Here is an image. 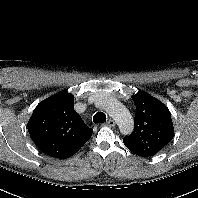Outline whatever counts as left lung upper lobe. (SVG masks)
Returning <instances> with one entry per match:
<instances>
[{"mask_svg":"<svg viewBox=\"0 0 198 198\" xmlns=\"http://www.w3.org/2000/svg\"><path fill=\"white\" fill-rule=\"evenodd\" d=\"M132 99L136 105L134 131L124 137L123 143L136 155L153 156L174 136L171 114L164 104L143 91Z\"/></svg>","mask_w":198,"mask_h":198,"instance_id":"5c2ea615","label":"left lung upper lobe"}]
</instances>
